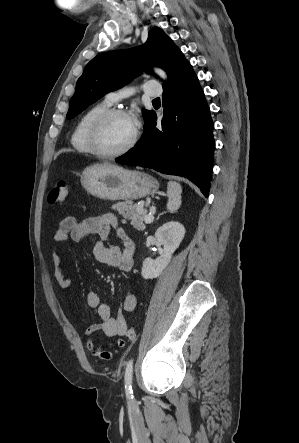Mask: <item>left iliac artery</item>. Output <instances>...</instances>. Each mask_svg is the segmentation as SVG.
<instances>
[{"label":"left iliac artery","mask_w":299,"mask_h":443,"mask_svg":"<svg viewBox=\"0 0 299 443\" xmlns=\"http://www.w3.org/2000/svg\"><path fill=\"white\" fill-rule=\"evenodd\" d=\"M132 378H133V359H130L127 362L126 369H125V391L128 398H133L132 395Z\"/></svg>","instance_id":"left-iliac-artery-1"}]
</instances>
